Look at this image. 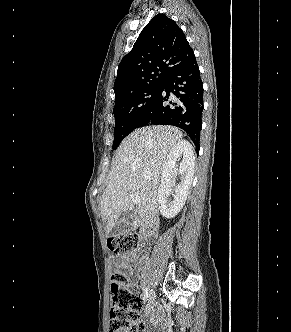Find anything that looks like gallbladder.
<instances>
[{
	"mask_svg": "<svg viewBox=\"0 0 291 332\" xmlns=\"http://www.w3.org/2000/svg\"><path fill=\"white\" fill-rule=\"evenodd\" d=\"M134 218V212L124 213L120 220L115 223L114 227L109 232V235L111 237H117L133 231L136 228L133 223Z\"/></svg>",
	"mask_w": 291,
	"mask_h": 332,
	"instance_id": "obj_1",
	"label": "gallbladder"
}]
</instances>
